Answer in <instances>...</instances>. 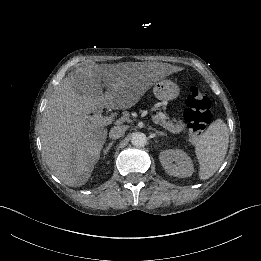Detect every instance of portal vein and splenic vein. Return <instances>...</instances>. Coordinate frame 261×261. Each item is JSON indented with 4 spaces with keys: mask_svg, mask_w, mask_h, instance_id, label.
<instances>
[{
    "mask_svg": "<svg viewBox=\"0 0 261 261\" xmlns=\"http://www.w3.org/2000/svg\"><path fill=\"white\" fill-rule=\"evenodd\" d=\"M149 118L151 120V122L157 127V128H160L161 127V123L158 122V119L153 115V114H150L149 115ZM112 119L113 117H100L99 119L96 120L97 124L99 126H106V125H109L112 123Z\"/></svg>",
    "mask_w": 261,
    "mask_h": 261,
    "instance_id": "obj_1",
    "label": "portal vein and splenic vein"
}]
</instances>
